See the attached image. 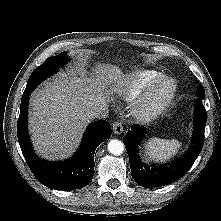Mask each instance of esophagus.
<instances>
[{"mask_svg": "<svg viewBox=\"0 0 221 221\" xmlns=\"http://www.w3.org/2000/svg\"><path fill=\"white\" fill-rule=\"evenodd\" d=\"M112 129L115 134H121L123 132L122 123L115 121L112 125Z\"/></svg>", "mask_w": 221, "mask_h": 221, "instance_id": "34e87169", "label": "esophagus"}]
</instances>
